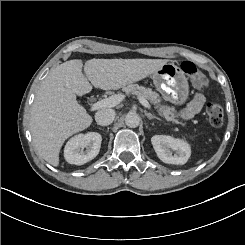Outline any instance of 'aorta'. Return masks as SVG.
<instances>
[{"mask_svg": "<svg viewBox=\"0 0 245 245\" xmlns=\"http://www.w3.org/2000/svg\"><path fill=\"white\" fill-rule=\"evenodd\" d=\"M125 123L130 128H136L140 124V117L136 113H128L125 117Z\"/></svg>", "mask_w": 245, "mask_h": 245, "instance_id": "1", "label": "aorta"}]
</instances>
